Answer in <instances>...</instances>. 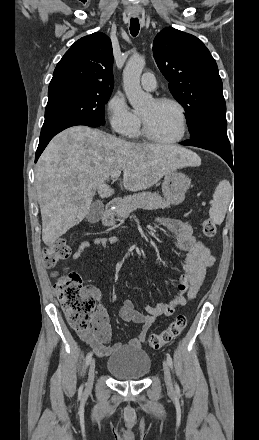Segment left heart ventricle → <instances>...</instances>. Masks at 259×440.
I'll return each instance as SVG.
<instances>
[{"instance_id":"1","label":"left heart ventricle","mask_w":259,"mask_h":440,"mask_svg":"<svg viewBox=\"0 0 259 440\" xmlns=\"http://www.w3.org/2000/svg\"><path fill=\"white\" fill-rule=\"evenodd\" d=\"M152 132L162 139H172L181 130L177 108L172 104H156L151 101L141 112Z\"/></svg>"}]
</instances>
